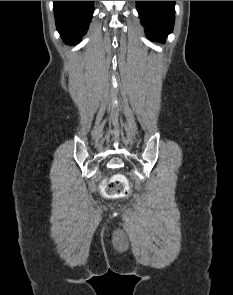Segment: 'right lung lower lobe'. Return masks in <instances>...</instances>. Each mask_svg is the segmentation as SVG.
Listing matches in <instances>:
<instances>
[{
  "mask_svg": "<svg viewBox=\"0 0 233 295\" xmlns=\"http://www.w3.org/2000/svg\"><path fill=\"white\" fill-rule=\"evenodd\" d=\"M94 1H53L56 27L64 42L75 44L86 33Z\"/></svg>",
  "mask_w": 233,
  "mask_h": 295,
  "instance_id": "right-lung-lower-lobe-1",
  "label": "right lung lower lobe"
}]
</instances>
